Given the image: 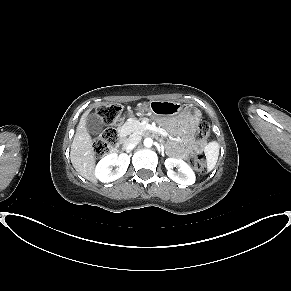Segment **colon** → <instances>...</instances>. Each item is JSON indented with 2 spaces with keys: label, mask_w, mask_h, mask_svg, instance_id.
Instances as JSON below:
<instances>
[{
  "label": "colon",
  "mask_w": 291,
  "mask_h": 291,
  "mask_svg": "<svg viewBox=\"0 0 291 291\" xmlns=\"http://www.w3.org/2000/svg\"><path fill=\"white\" fill-rule=\"evenodd\" d=\"M97 115L106 124L107 129L94 140V152L98 156H103L113 151L120 143L118 127L125 120L124 108L120 105H105L97 110ZM210 135V126L206 120H201L196 129L194 138L197 144H203ZM194 169L200 173L206 167L205 158L202 154H197L193 160Z\"/></svg>",
  "instance_id": "1"
}]
</instances>
